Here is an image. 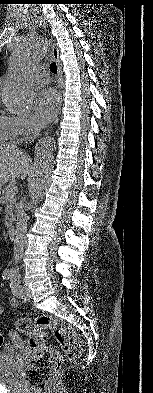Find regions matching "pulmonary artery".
<instances>
[{"instance_id": "obj_1", "label": "pulmonary artery", "mask_w": 153, "mask_h": 393, "mask_svg": "<svg viewBox=\"0 0 153 393\" xmlns=\"http://www.w3.org/2000/svg\"><path fill=\"white\" fill-rule=\"evenodd\" d=\"M33 78L39 85H46L49 83V75L47 73H36Z\"/></svg>"}]
</instances>
